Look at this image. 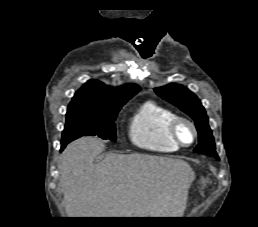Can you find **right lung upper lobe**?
I'll return each mask as SVG.
<instances>
[{
  "label": "right lung upper lobe",
  "mask_w": 258,
  "mask_h": 227,
  "mask_svg": "<svg viewBox=\"0 0 258 227\" xmlns=\"http://www.w3.org/2000/svg\"><path fill=\"white\" fill-rule=\"evenodd\" d=\"M140 87L127 84L117 88L106 86L100 81L89 80L74 95L70 104L90 107H115L126 103Z\"/></svg>",
  "instance_id": "obj_1"
}]
</instances>
